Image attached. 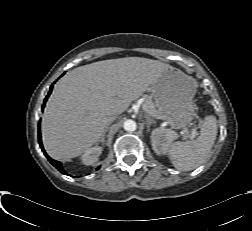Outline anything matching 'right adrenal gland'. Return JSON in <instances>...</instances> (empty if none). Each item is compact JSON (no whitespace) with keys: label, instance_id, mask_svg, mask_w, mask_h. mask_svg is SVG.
Wrapping results in <instances>:
<instances>
[{"label":"right adrenal gland","instance_id":"obj_1","mask_svg":"<svg viewBox=\"0 0 252 231\" xmlns=\"http://www.w3.org/2000/svg\"><path fill=\"white\" fill-rule=\"evenodd\" d=\"M107 130H108V128L105 129L104 134H103L102 138L100 139V142L102 144H104L105 134H106Z\"/></svg>","mask_w":252,"mask_h":231}]
</instances>
